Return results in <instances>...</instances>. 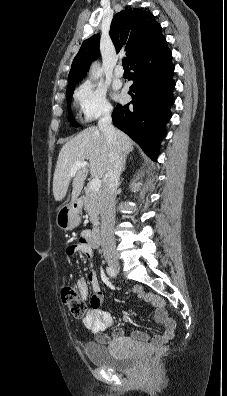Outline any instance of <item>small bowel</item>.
Returning a JSON list of instances; mask_svg holds the SVG:
<instances>
[{"instance_id":"c3829d8e","label":"small bowel","mask_w":227,"mask_h":396,"mask_svg":"<svg viewBox=\"0 0 227 396\" xmlns=\"http://www.w3.org/2000/svg\"><path fill=\"white\" fill-rule=\"evenodd\" d=\"M96 249V245L89 238L86 232L82 233L79 242L74 246L68 247L66 250L67 254L73 252L80 253L88 258L93 257V252ZM90 288L95 293L92 298V306L85 316L83 317L84 326L91 331L96 338V341L101 344H143L148 345L150 348H157L163 343L173 338L176 323L173 319L167 316L165 311V302L162 298L145 292L140 286L133 287V293L143 299L145 302L151 303L154 307V319L157 323L161 324L164 328L162 334L150 337L146 333L136 331L132 335H125L123 328H115L111 336L105 333V330L113 324L112 315L99 307L102 305L103 296L100 292V282L98 274L91 264V268L86 278H80L77 281V290L79 296L85 300L89 297Z\"/></svg>"}]
</instances>
